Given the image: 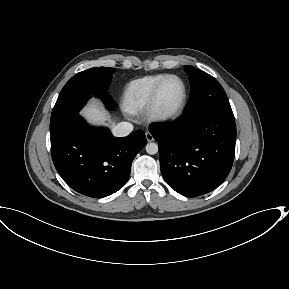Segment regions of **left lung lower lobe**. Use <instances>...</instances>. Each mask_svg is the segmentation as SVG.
<instances>
[{
  "mask_svg": "<svg viewBox=\"0 0 289 289\" xmlns=\"http://www.w3.org/2000/svg\"><path fill=\"white\" fill-rule=\"evenodd\" d=\"M158 141L161 173L179 194L196 197L218 187L229 174L235 151L233 113L191 112L150 128Z\"/></svg>",
  "mask_w": 289,
  "mask_h": 289,
  "instance_id": "0a47b994",
  "label": "left lung lower lobe"
}]
</instances>
